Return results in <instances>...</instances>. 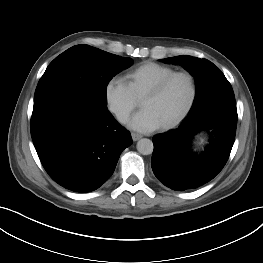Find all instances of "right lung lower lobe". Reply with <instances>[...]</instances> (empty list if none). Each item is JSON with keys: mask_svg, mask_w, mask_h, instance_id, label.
Masks as SVG:
<instances>
[{"mask_svg": "<svg viewBox=\"0 0 263 263\" xmlns=\"http://www.w3.org/2000/svg\"><path fill=\"white\" fill-rule=\"evenodd\" d=\"M31 137L49 176L62 187L86 193L113 174L132 138L109 113L76 95L34 105Z\"/></svg>", "mask_w": 263, "mask_h": 263, "instance_id": "98d812e1", "label": "right lung lower lobe"}]
</instances>
